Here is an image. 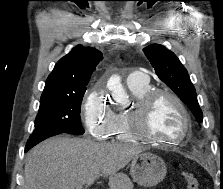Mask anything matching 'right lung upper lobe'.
Masks as SVG:
<instances>
[{"label": "right lung upper lobe", "mask_w": 223, "mask_h": 189, "mask_svg": "<svg viewBox=\"0 0 223 189\" xmlns=\"http://www.w3.org/2000/svg\"><path fill=\"white\" fill-rule=\"evenodd\" d=\"M102 59L100 51L92 47L76 46L56 63L46 80L43 94L76 92L86 88L91 74Z\"/></svg>", "instance_id": "1"}]
</instances>
